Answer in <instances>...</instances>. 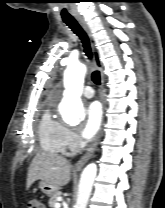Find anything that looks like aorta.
<instances>
[{
	"label": "aorta",
	"instance_id": "aorta-1",
	"mask_svg": "<svg viewBox=\"0 0 165 208\" xmlns=\"http://www.w3.org/2000/svg\"><path fill=\"white\" fill-rule=\"evenodd\" d=\"M85 74L86 67L81 63L69 64L66 69V90L59 109L63 120L67 123H77L84 118L81 94ZM96 174L97 165L95 163L84 168L79 182L75 208L87 207Z\"/></svg>",
	"mask_w": 165,
	"mask_h": 208
}]
</instances>
